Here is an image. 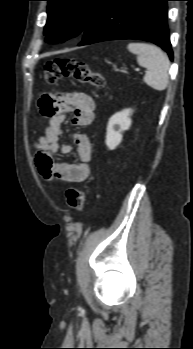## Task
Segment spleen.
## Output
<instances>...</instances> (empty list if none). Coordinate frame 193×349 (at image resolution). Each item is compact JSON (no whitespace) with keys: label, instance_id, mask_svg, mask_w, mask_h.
<instances>
[{"label":"spleen","instance_id":"1","mask_svg":"<svg viewBox=\"0 0 193 349\" xmlns=\"http://www.w3.org/2000/svg\"><path fill=\"white\" fill-rule=\"evenodd\" d=\"M128 50L137 55L139 65L148 69L143 81L157 91H163L168 85V56L157 46L148 43H129Z\"/></svg>","mask_w":193,"mask_h":349}]
</instances>
